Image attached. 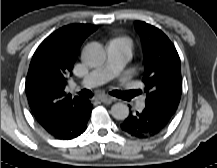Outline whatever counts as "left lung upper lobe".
Masks as SVG:
<instances>
[{"instance_id":"1","label":"left lung upper lobe","mask_w":217,"mask_h":168,"mask_svg":"<svg viewBox=\"0 0 217 168\" xmlns=\"http://www.w3.org/2000/svg\"><path fill=\"white\" fill-rule=\"evenodd\" d=\"M144 54L146 105L174 115L181 98V63L177 50L158 28L142 21L135 22Z\"/></svg>"}]
</instances>
